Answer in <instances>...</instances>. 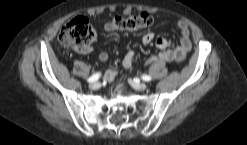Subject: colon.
I'll return each instance as SVG.
<instances>
[{
	"instance_id": "1",
	"label": "colon",
	"mask_w": 247,
	"mask_h": 145,
	"mask_svg": "<svg viewBox=\"0 0 247 145\" xmlns=\"http://www.w3.org/2000/svg\"><path fill=\"white\" fill-rule=\"evenodd\" d=\"M153 18L147 13L130 16H115L110 21L113 30H139L151 26ZM96 33L84 16H77L66 23L60 30L58 40L64 47L80 51L91 46Z\"/></svg>"
}]
</instances>
